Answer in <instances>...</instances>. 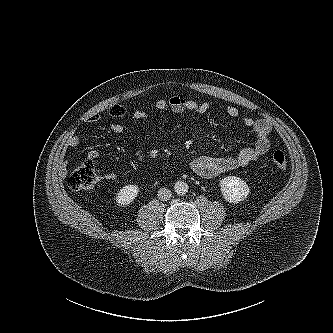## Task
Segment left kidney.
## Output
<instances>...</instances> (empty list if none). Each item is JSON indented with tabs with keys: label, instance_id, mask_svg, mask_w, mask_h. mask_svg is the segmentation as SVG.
I'll return each instance as SVG.
<instances>
[{
	"label": "left kidney",
	"instance_id": "left-kidney-1",
	"mask_svg": "<svg viewBox=\"0 0 333 333\" xmlns=\"http://www.w3.org/2000/svg\"><path fill=\"white\" fill-rule=\"evenodd\" d=\"M221 193L223 198L229 202L237 204L244 201L250 192L245 181L236 176H228L220 181Z\"/></svg>",
	"mask_w": 333,
	"mask_h": 333
}]
</instances>
